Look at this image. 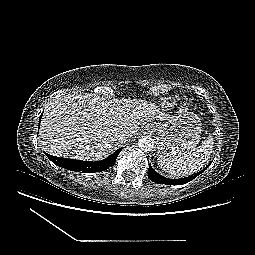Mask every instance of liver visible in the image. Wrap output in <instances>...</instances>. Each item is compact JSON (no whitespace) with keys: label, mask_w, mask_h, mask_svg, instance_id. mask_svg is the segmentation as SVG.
<instances>
[{"label":"liver","mask_w":255,"mask_h":255,"mask_svg":"<svg viewBox=\"0 0 255 255\" xmlns=\"http://www.w3.org/2000/svg\"><path fill=\"white\" fill-rule=\"evenodd\" d=\"M170 118L151 102L142 99L100 100L92 93L66 95L50 101L40 126V144L51 155L95 161L108 156L149 120Z\"/></svg>","instance_id":"obj_1"}]
</instances>
